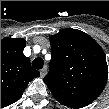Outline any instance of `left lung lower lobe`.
Segmentation results:
<instances>
[{"instance_id":"0a47b994","label":"left lung lower lobe","mask_w":109,"mask_h":109,"mask_svg":"<svg viewBox=\"0 0 109 109\" xmlns=\"http://www.w3.org/2000/svg\"><path fill=\"white\" fill-rule=\"evenodd\" d=\"M61 104L67 106V107H70V108H81V106H78L76 104H73L71 102H68L66 100H62V99H57Z\"/></svg>"}]
</instances>
